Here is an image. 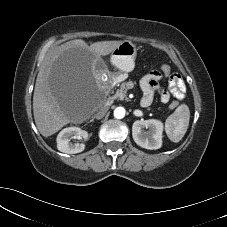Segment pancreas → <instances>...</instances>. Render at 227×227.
Instances as JSON below:
<instances>
[{
  "instance_id": "pancreas-1",
  "label": "pancreas",
  "mask_w": 227,
  "mask_h": 227,
  "mask_svg": "<svg viewBox=\"0 0 227 227\" xmlns=\"http://www.w3.org/2000/svg\"><path fill=\"white\" fill-rule=\"evenodd\" d=\"M127 83L126 82H123L121 85H120V88L117 89L115 95L112 97L113 99H120V100H123V99H126V93H127V87H126Z\"/></svg>"
}]
</instances>
